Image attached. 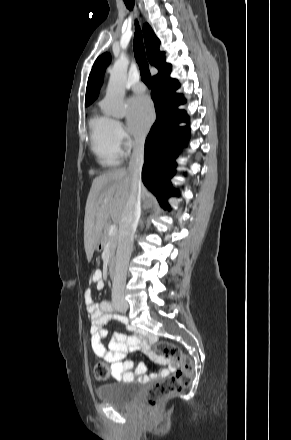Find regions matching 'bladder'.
Listing matches in <instances>:
<instances>
[{"mask_svg":"<svg viewBox=\"0 0 291 440\" xmlns=\"http://www.w3.org/2000/svg\"><path fill=\"white\" fill-rule=\"evenodd\" d=\"M140 393L141 390L138 382L125 379L98 387L95 391L99 400L119 408L132 405Z\"/></svg>","mask_w":291,"mask_h":440,"instance_id":"obj_1","label":"bladder"}]
</instances>
